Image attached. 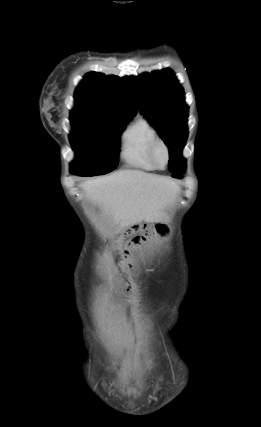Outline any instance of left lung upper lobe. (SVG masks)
Here are the masks:
<instances>
[{
	"mask_svg": "<svg viewBox=\"0 0 261 427\" xmlns=\"http://www.w3.org/2000/svg\"><path fill=\"white\" fill-rule=\"evenodd\" d=\"M129 80L141 112L169 148L171 172H182L186 161L181 153L188 133V107L183 88L169 69L132 76Z\"/></svg>",
	"mask_w": 261,
	"mask_h": 427,
	"instance_id": "obj_1",
	"label": "left lung upper lobe"
}]
</instances>
